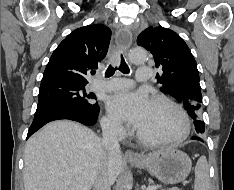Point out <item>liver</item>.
I'll use <instances>...</instances> for the list:
<instances>
[{
  "mask_svg": "<svg viewBox=\"0 0 234 190\" xmlns=\"http://www.w3.org/2000/svg\"><path fill=\"white\" fill-rule=\"evenodd\" d=\"M122 166L121 152H106L91 129L73 121H54L26 143L24 188L90 190L102 170L113 184Z\"/></svg>",
  "mask_w": 234,
  "mask_h": 190,
  "instance_id": "liver-1",
  "label": "liver"
}]
</instances>
